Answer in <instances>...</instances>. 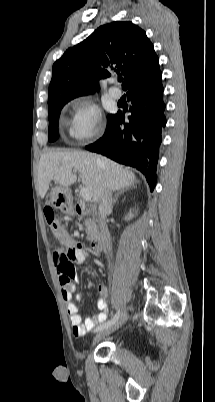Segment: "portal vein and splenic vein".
<instances>
[{
	"label": "portal vein and splenic vein",
	"mask_w": 215,
	"mask_h": 402,
	"mask_svg": "<svg viewBox=\"0 0 215 402\" xmlns=\"http://www.w3.org/2000/svg\"><path fill=\"white\" fill-rule=\"evenodd\" d=\"M80 194H81V197L83 198V200H85L87 202L90 201L92 198L91 192H90L89 188H87V187L81 188Z\"/></svg>",
	"instance_id": "obj_1"
}]
</instances>
